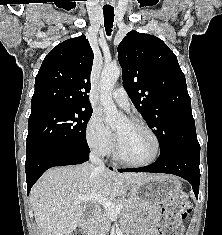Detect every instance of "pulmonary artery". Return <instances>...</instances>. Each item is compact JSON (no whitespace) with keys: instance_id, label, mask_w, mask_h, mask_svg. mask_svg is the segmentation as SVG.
Returning a JSON list of instances; mask_svg holds the SVG:
<instances>
[{"instance_id":"e3ab8cb5","label":"pulmonary artery","mask_w":222,"mask_h":235,"mask_svg":"<svg viewBox=\"0 0 222 235\" xmlns=\"http://www.w3.org/2000/svg\"><path fill=\"white\" fill-rule=\"evenodd\" d=\"M112 97L116 104H118L120 107L126 110L130 109V100L123 88H116L112 93Z\"/></svg>"}]
</instances>
